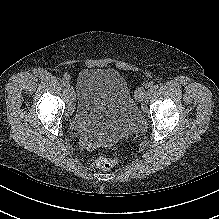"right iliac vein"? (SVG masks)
<instances>
[{"label":"right iliac vein","instance_id":"obj_1","mask_svg":"<svg viewBox=\"0 0 219 219\" xmlns=\"http://www.w3.org/2000/svg\"><path fill=\"white\" fill-rule=\"evenodd\" d=\"M67 89H68V91H69V94H70L71 96H73V95H74V90H73V88L69 85V86L67 87Z\"/></svg>","mask_w":219,"mask_h":219}]
</instances>
